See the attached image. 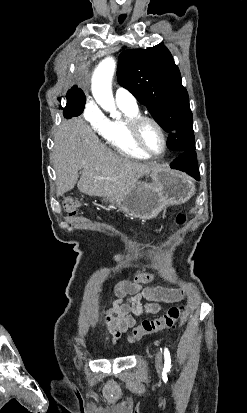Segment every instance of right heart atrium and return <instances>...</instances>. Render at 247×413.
Returning <instances> with one entry per match:
<instances>
[{"instance_id":"obj_1","label":"right heart atrium","mask_w":247,"mask_h":413,"mask_svg":"<svg viewBox=\"0 0 247 413\" xmlns=\"http://www.w3.org/2000/svg\"><path fill=\"white\" fill-rule=\"evenodd\" d=\"M83 108L86 109L82 112L83 119H88V123L96 133H105L107 130L106 111L100 110L95 100H84Z\"/></svg>"}]
</instances>
